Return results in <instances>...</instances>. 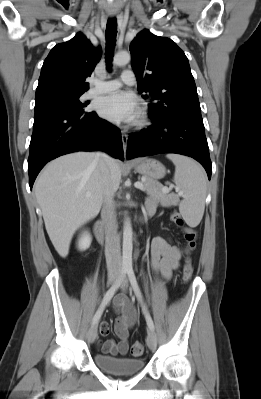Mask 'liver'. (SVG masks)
<instances>
[{
    "label": "liver",
    "mask_w": 261,
    "mask_h": 399,
    "mask_svg": "<svg viewBox=\"0 0 261 399\" xmlns=\"http://www.w3.org/2000/svg\"><path fill=\"white\" fill-rule=\"evenodd\" d=\"M107 169L115 192L121 182L120 164L111 158L107 167L97 152L61 156L38 177L35 196L49 238L61 257L68 255L75 231L99 213Z\"/></svg>",
    "instance_id": "liver-1"
}]
</instances>
